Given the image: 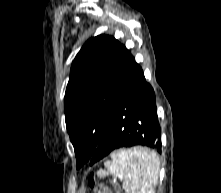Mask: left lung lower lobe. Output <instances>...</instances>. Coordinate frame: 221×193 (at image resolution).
<instances>
[{
  "label": "left lung lower lobe",
  "mask_w": 221,
  "mask_h": 193,
  "mask_svg": "<svg viewBox=\"0 0 221 193\" xmlns=\"http://www.w3.org/2000/svg\"><path fill=\"white\" fill-rule=\"evenodd\" d=\"M160 136L154 90L133 60L119 88L112 126L90 158V165L123 147L141 145L161 153Z\"/></svg>",
  "instance_id": "left-lung-lower-lobe-1"
}]
</instances>
